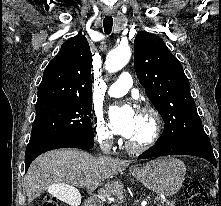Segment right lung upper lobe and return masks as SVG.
<instances>
[{"instance_id": "obj_1", "label": "right lung upper lobe", "mask_w": 221, "mask_h": 206, "mask_svg": "<svg viewBox=\"0 0 221 206\" xmlns=\"http://www.w3.org/2000/svg\"><path fill=\"white\" fill-rule=\"evenodd\" d=\"M91 67L92 54L85 36L68 39L45 68L36 107L91 103Z\"/></svg>"}]
</instances>
